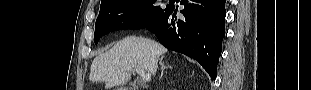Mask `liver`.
<instances>
[{
    "mask_svg": "<svg viewBox=\"0 0 311 90\" xmlns=\"http://www.w3.org/2000/svg\"><path fill=\"white\" fill-rule=\"evenodd\" d=\"M166 52V48L148 38H124L93 60L89 80L105 82L106 88H111L127 84L137 68L154 75L158 58Z\"/></svg>",
    "mask_w": 311,
    "mask_h": 90,
    "instance_id": "liver-1",
    "label": "liver"
}]
</instances>
